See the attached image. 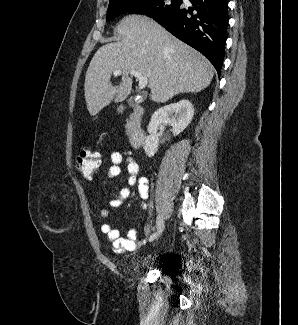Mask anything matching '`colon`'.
<instances>
[{
  "label": "colon",
  "mask_w": 298,
  "mask_h": 325,
  "mask_svg": "<svg viewBox=\"0 0 298 325\" xmlns=\"http://www.w3.org/2000/svg\"><path fill=\"white\" fill-rule=\"evenodd\" d=\"M100 153L97 150L85 147L76 159V168L81 176L86 180H91L99 167Z\"/></svg>",
  "instance_id": "1"
}]
</instances>
